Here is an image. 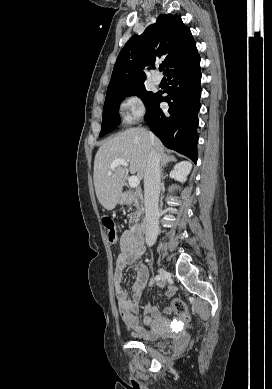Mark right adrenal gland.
I'll return each mask as SVG.
<instances>
[{"label": "right adrenal gland", "instance_id": "2a0ac1e0", "mask_svg": "<svg viewBox=\"0 0 272 389\" xmlns=\"http://www.w3.org/2000/svg\"><path fill=\"white\" fill-rule=\"evenodd\" d=\"M170 162H176V159L173 156H163L161 159V172H163L164 167H166Z\"/></svg>", "mask_w": 272, "mask_h": 389}]
</instances>
